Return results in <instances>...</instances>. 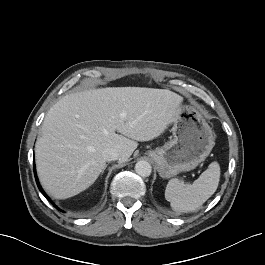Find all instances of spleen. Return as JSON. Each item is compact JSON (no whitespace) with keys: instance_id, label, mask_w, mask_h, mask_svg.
Segmentation results:
<instances>
[{"instance_id":"spleen-1","label":"spleen","mask_w":265,"mask_h":265,"mask_svg":"<svg viewBox=\"0 0 265 265\" xmlns=\"http://www.w3.org/2000/svg\"><path fill=\"white\" fill-rule=\"evenodd\" d=\"M220 180V166L212 162L192 184L170 179L165 189V199L173 210L192 212L199 209L217 190Z\"/></svg>"}]
</instances>
